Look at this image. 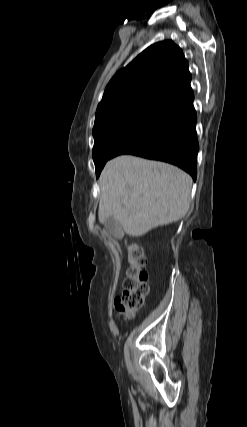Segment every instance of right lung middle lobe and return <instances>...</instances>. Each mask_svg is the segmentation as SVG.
<instances>
[{
  "label": "right lung middle lobe",
  "instance_id": "right-lung-middle-lobe-1",
  "mask_svg": "<svg viewBox=\"0 0 247 427\" xmlns=\"http://www.w3.org/2000/svg\"><path fill=\"white\" fill-rule=\"evenodd\" d=\"M154 110L155 108L144 106L130 107L106 113L95 119L93 160L97 177L123 139Z\"/></svg>",
  "mask_w": 247,
  "mask_h": 427
}]
</instances>
